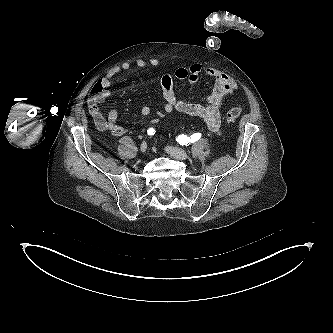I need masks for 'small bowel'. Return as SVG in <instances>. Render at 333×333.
<instances>
[{"label": "small bowel", "instance_id": "small-bowel-1", "mask_svg": "<svg viewBox=\"0 0 333 333\" xmlns=\"http://www.w3.org/2000/svg\"><path fill=\"white\" fill-rule=\"evenodd\" d=\"M156 67L159 65V60L152 58L148 61L138 59L134 65L129 62H124L119 66L111 68L103 77L99 80L98 84L102 87L101 94L96 98L97 104L104 103L110 96V87L114 79L122 71H130L133 66L137 68H145L146 66ZM201 74H205L214 79V87L212 92L206 99L205 105L194 104L179 98L174 90L173 76L166 74L161 78V87L165 104L162 111H158L156 116L151 120V124H155L160 118H163L165 114L178 111L180 113L201 118L207 125L210 131L215 134H219L221 131V109L225 98L231 94L237 87L235 81L227 74L215 68H203L198 63H193L188 67H179L174 72V77L179 80H187L190 83L198 81ZM151 110L149 107L144 106L141 109L143 116H148ZM92 117L94 119L95 126L102 132H107L113 136H123L128 132V129L120 126L117 123L118 114L116 111H110L107 118H105L100 112L99 108L91 110Z\"/></svg>", "mask_w": 333, "mask_h": 333}]
</instances>
